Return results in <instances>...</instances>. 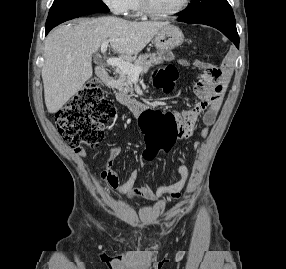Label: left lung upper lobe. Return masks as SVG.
Wrapping results in <instances>:
<instances>
[{
	"instance_id": "5c2ea615",
	"label": "left lung upper lobe",
	"mask_w": 286,
	"mask_h": 269,
	"mask_svg": "<svg viewBox=\"0 0 286 269\" xmlns=\"http://www.w3.org/2000/svg\"><path fill=\"white\" fill-rule=\"evenodd\" d=\"M191 5L179 17L186 21L218 20L235 22L233 10L227 0H191Z\"/></svg>"
}]
</instances>
